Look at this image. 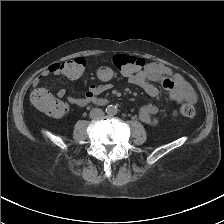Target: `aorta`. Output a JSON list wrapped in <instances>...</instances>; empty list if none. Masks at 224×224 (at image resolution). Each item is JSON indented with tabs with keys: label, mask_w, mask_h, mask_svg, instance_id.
<instances>
[{
	"label": "aorta",
	"mask_w": 224,
	"mask_h": 224,
	"mask_svg": "<svg viewBox=\"0 0 224 224\" xmlns=\"http://www.w3.org/2000/svg\"><path fill=\"white\" fill-rule=\"evenodd\" d=\"M106 112H107L108 115L114 116V115L117 114L118 108H117L116 105H109L106 108Z\"/></svg>",
	"instance_id": "1"
}]
</instances>
